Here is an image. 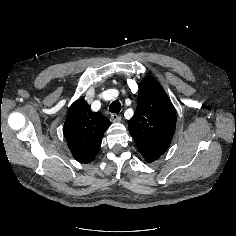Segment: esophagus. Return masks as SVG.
<instances>
[{"label":"esophagus","mask_w":236,"mask_h":236,"mask_svg":"<svg viewBox=\"0 0 236 236\" xmlns=\"http://www.w3.org/2000/svg\"><path fill=\"white\" fill-rule=\"evenodd\" d=\"M111 121L112 122H120L121 121V116L118 114H111Z\"/></svg>","instance_id":"esophagus-1"}]
</instances>
